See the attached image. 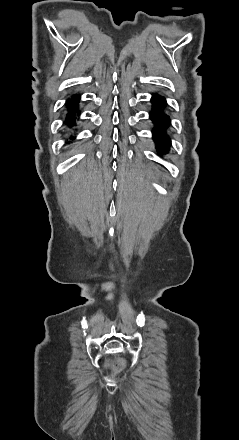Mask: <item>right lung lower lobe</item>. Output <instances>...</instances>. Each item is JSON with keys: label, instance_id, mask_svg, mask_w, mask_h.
<instances>
[{"label": "right lung lower lobe", "instance_id": "98d812e1", "mask_svg": "<svg viewBox=\"0 0 239 440\" xmlns=\"http://www.w3.org/2000/svg\"><path fill=\"white\" fill-rule=\"evenodd\" d=\"M78 102H79L78 95H74L69 101H67L66 104L68 109V114H67V118L65 119V123L70 127L74 126L73 118L75 117L76 114L79 113Z\"/></svg>", "mask_w": 239, "mask_h": 440}]
</instances>
